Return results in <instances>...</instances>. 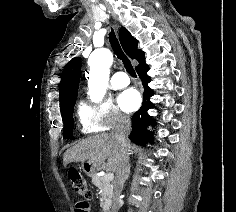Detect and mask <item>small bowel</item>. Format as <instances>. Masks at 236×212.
<instances>
[{"label": "small bowel", "mask_w": 236, "mask_h": 212, "mask_svg": "<svg viewBox=\"0 0 236 212\" xmlns=\"http://www.w3.org/2000/svg\"><path fill=\"white\" fill-rule=\"evenodd\" d=\"M77 204H88V199H77ZM75 212H90V205H75Z\"/></svg>", "instance_id": "c3829d8e"}]
</instances>
